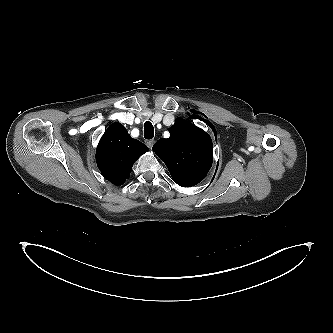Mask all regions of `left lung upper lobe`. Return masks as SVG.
<instances>
[{
  "mask_svg": "<svg viewBox=\"0 0 333 333\" xmlns=\"http://www.w3.org/2000/svg\"><path fill=\"white\" fill-rule=\"evenodd\" d=\"M168 139H159L153 146L155 153L169 169L173 180L182 187L201 182L213 162L210 136L194 124L178 118L169 129Z\"/></svg>",
  "mask_w": 333,
  "mask_h": 333,
  "instance_id": "left-lung-upper-lobe-1",
  "label": "left lung upper lobe"
}]
</instances>
